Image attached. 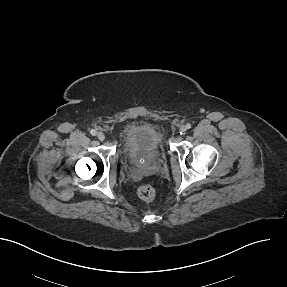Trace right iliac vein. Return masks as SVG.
Returning <instances> with one entry per match:
<instances>
[{
    "label": "right iliac vein",
    "instance_id": "63e3f726",
    "mask_svg": "<svg viewBox=\"0 0 287 287\" xmlns=\"http://www.w3.org/2000/svg\"><path fill=\"white\" fill-rule=\"evenodd\" d=\"M97 138L100 140V141H104L105 140V135L102 133V132H99L97 134Z\"/></svg>",
    "mask_w": 287,
    "mask_h": 287
}]
</instances>
